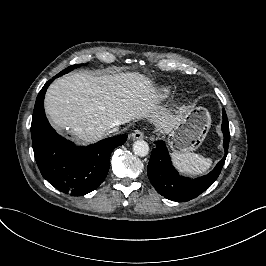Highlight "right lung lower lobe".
I'll return each instance as SVG.
<instances>
[{
    "label": "right lung lower lobe",
    "instance_id": "obj_1",
    "mask_svg": "<svg viewBox=\"0 0 266 266\" xmlns=\"http://www.w3.org/2000/svg\"><path fill=\"white\" fill-rule=\"evenodd\" d=\"M49 80L39 92L34 106L31 135L37 165L43 177L59 191L82 196L95 190L105 179L113 149L127 140L118 135L81 147L58 135L44 112V96Z\"/></svg>",
    "mask_w": 266,
    "mask_h": 266
}]
</instances>
